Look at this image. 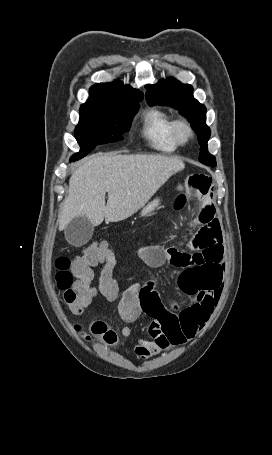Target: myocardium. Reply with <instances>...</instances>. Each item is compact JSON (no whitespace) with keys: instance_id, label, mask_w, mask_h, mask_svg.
Returning a JSON list of instances; mask_svg holds the SVG:
<instances>
[{"instance_id":"myocardium-1","label":"myocardium","mask_w":272,"mask_h":455,"mask_svg":"<svg viewBox=\"0 0 272 455\" xmlns=\"http://www.w3.org/2000/svg\"><path fill=\"white\" fill-rule=\"evenodd\" d=\"M172 136L178 146L187 145L194 136L191 125L184 119H175L172 123ZM183 133H185L183 135Z\"/></svg>"}]
</instances>
